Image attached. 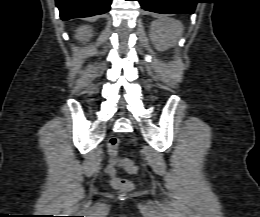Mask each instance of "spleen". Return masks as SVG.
Wrapping results in <instances>:
<instances>
[{
	"label": "spleen",
	"mask_w": 260,
	"mask_h": 217,
	"mask_svg": "<svg viewBox=\"0 0 260 217\" xmlns=\"http://www.w3.org/2000/svg\"><path fill=\"white\" fill-rule=\"evenodd\" d=\"M175 31H176L177 35H180L182 33V28H181L180 24L175 25Z\"/></svg>",
	"instance_id": "spleen-1"
}]
</instances>
